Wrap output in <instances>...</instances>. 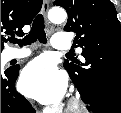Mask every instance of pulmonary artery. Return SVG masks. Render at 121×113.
<instances>
[{
    "mask_svg": "<svg viewBox=\"0 0 121 113\" xmlns=\"http://www.w3.org/2000/svg\"><path fill=\"white\" fill-rule=\"evenodd\" d=\"M54 49L60 50V51H67L70 49V41L67 34L58 33L55 34L52 38ZM31 54L30 51L24 50V51H17V50H11L8 53V59H19L27 57Z\"/></svg>",
    "mask_w": 121,
    "mask_h": 113,
    "instance_id": "obj_1",
    "label": "pulmonary artery"
}]
</instances>
